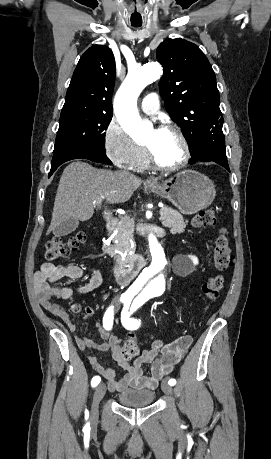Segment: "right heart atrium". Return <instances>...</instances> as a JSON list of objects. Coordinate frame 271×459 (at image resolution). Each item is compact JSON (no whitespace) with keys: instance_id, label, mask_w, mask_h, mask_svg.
Returning a JSON list of instances; mask_svg holds the SVG:
<instances>
[{"instance_id":"right-heart-atrium-1","label":"right heart atrium","mask_w":271,"mask_h":459,"mask_svg":"<svg viewBox=\"0 0 271 459\" xmlns=\"http://www.w3.org/2000/svg\"><path fill=\"white\" fill-rule=\"evenodd\" d=\"M103 148L107 157L119 167H132L146 155L144 146L133 141L114 120L108 123L103 132Z\"/></svg>"}]
</instances>
